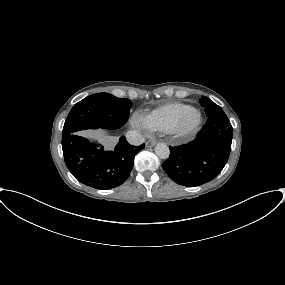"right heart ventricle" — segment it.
Here are the masks:
<instances>
[{
	"instance_id": "e07e8e85",
	"label": "right heart ventricle",
	"mask_w": 285,
	"mask_h": 285,
	"mask_svg": "<svg viewBox=\"0 0 285 285\" xmlns=\"http://www.w3.org/2000/svg\"><path fill=\"white\" fill-rule=\"evenodd\" d=\"M192 107L182 102H169L138 118L140 125L146 130L171 132L182 115Z\"/></svg>"
}]
</instances>
